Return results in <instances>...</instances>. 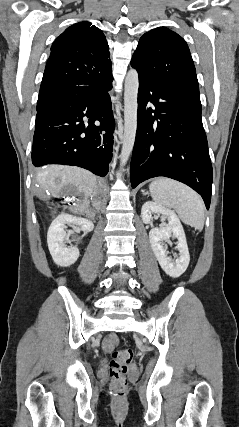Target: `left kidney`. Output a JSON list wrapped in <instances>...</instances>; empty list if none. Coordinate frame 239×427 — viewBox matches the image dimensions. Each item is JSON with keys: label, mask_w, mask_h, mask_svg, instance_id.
<instances>
[{"label": "left kidney", "mask_w": 239, "mask_h": 427, "mask_svg": "<svg viewBox=\"0 0 239 427\" xmlns=\"http://www.w3.org/2000/svg\"><path fill=\"white\" fill-rule=\"evenodd\" d=\"M153 214L164 216L168 220L166 226L152 228L149 232V240L153 253L167 275L174 278L179 277L186 271L190 262L183 226L174 211L150 201L145 202L141 209L143 222L149 224L153 218ZM171 236H174L178 240L176 248L179 251V257L175 260L167 256L164 246V241H167Z\"/></svg>", "instance_id": "obj_1"}]
</instances>
